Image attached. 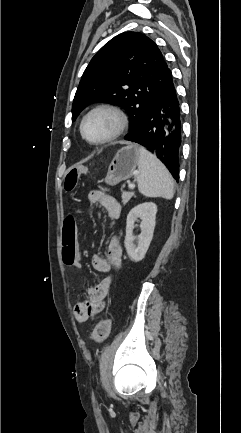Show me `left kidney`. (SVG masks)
Masks as SVG:
<instances>
[{"mask_svg": "<svg viewBox=\"0 0 241 433\" xmlns=\"http://www.w3.org/2000/svg\"><path fill=\"white\" fill-rule=\"evenodd\" d=\"M157 206L153 202H145L135 206L128 214L126 221L125 248L129 258L133 262L141 261L153 238L156 223ZM141 220V234L138 237L137 245L134 244L136 237L133 234L135 221Z\"/></svg>", "mask_w": 241, "mask_h": 433, "instance_id": "5707ae66", "label": "left kidney"}]
</instances>
